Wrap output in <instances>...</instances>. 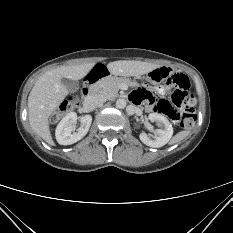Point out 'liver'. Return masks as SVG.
<instances>
[{"mask_svg":"<svg viewBox=\"0 0 233 233\" xmlns=\"http://www.w3.org/2000/svg\"><path fill=\"white\" fill-rule=\"evenodd\" d=\"M95 66V63L61 66L45 72L35 82L28 97V118L31 128L48 144L54 145L49 117L68 95V89L62 83L63 78L80 80ZM159 65L141 61H114L107 65L115 76H139L149 73Z\"/></svg>","mask_w":233,"mask_h":233,"instance_id":"6515ba94","label":"liver"}]
</instances>
